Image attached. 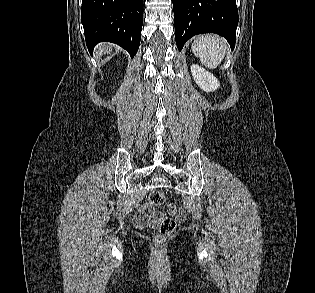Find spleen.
Segmentation results:
<instances>
[{"label":"spleen","mask_w":315,"mask_h":293,"mask_svg":"<svg viewBox=\"0 0 315 293\" xmlns=\"http://www.w3.org/2000/svg\"><path fill=\"white\" fill-rule=\"evenodd\" d=\"M192 51L208 68H216L224 58L226 45L216 35H201L191 45Z\"/></svg>","instance_id":"spleen-1"}]
</instances>
